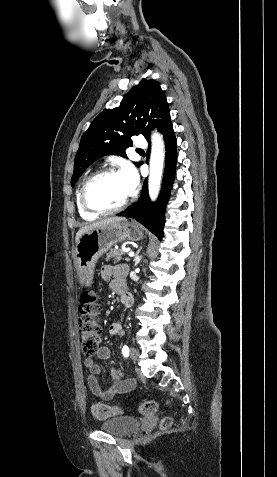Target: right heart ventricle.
Wrapping results in <instances>:
<instances>
[{
  "instance_id": "right-heart-ventricle-1",
  "label": "right heart ventricle",
  "mask_w": 277,
  "mask_h": 477,
  "mask_svg": "<svg viewBox=\"0 0 277 477\" xmlns=\"http://www.w3.org/2000/svg\"><path fill=\"white\" fill-rule=\"evenodd\" d=\"M82 186L80 187V189L78 190V193H77V206H78L79 214L84 220L91 221V220L96 219L99 215L89 213L82 208V206L80 204V191H81Z\"/></svg>"
}]
</instances>
